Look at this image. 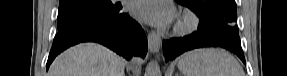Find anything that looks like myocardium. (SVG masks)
I'll return each mask as SVG.
<instances>
[{"instance_id": "f54148a6", "label": "myocardium", "mask_w": 287, "mask_h": 76, "mask_svg": "<svg viewBox=\"0 0 287 76\" xmlns=\"http://www.w3.org/2000/svg\"><path fill=\"white\" fill-rule=\"evenodd\" d=\"M200 24V19L196 13L186 10L180 16L175 25L174 32L177 35L184 36L194 32Z\"/></svg>"}]
</instances>
